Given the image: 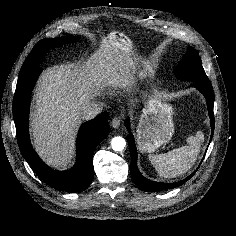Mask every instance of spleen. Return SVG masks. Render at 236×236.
<instances>
[{
    "mask_svg": "<svg viewBox=\"0 0 236 236\" xmlns=\"http://www.w3.org/2000/svg\"><path fill=\"white\" fill-rule=\"evenodd\" d=\"M204 134L197 131L187 139V144L165 154H150L149 160L158 174L164 178H175L189 171L197 160Z\"/></svg>",
    "mask_w": 236,
    "mask_h": 236,
    "instance_id": "3e777b00",
    "label": "spleen"
}]
</instances>
